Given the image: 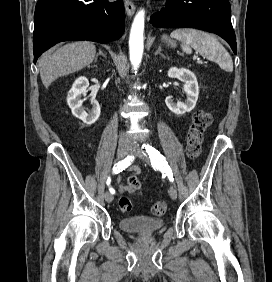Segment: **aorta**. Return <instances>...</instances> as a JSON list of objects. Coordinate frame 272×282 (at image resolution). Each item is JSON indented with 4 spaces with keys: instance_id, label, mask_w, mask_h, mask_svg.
I'll return each mask as SVG.
<instances>
[{
    "instance_id": "obj_1",
    "label": "aorta",
    "mask_w": 272,
    "mask_h": 282,
    "mask_svg": "<svg viewBox=\"0 0 272 282\" xmlns=\"http://www.w3.org/2000/svg\"><path fill=\"white\" fill-rule=\"evenodd\" d=\"M144 18L145 12L143 10L139 11L134 18L130 31L129 52L131 65L134 70H137L139 67L143 55Z\"/></svg>"
}]
</instances>
